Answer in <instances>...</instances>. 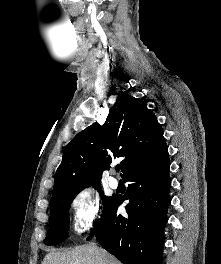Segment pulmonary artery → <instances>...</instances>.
I'll use <instances>...</instances> for the list:
<instances>
[{"mask_svg":"<svg viewBox=\"0 0 221 264\" xmlns=\"http://www.w3.org/2000/svg\"><path fill=\"white\" fill-rule=\"evenodd\" d=\"M109 186L113 189H116L119 186V181L115 177L109 178Z\"/></svg>","mask_w":221,"mask_h":264,"instance_id":"e3ab8cb5","label":"pulmonary artery"}]
</instances>
